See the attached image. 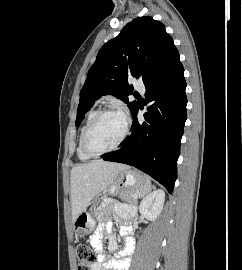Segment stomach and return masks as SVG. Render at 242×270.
Segmentation results:
<instances>
[{"mask_svg": "<svg viewBox=\"0 0 242 270\" xmlns=\"http://www.w3.org/2000/svg\"><path fill=\"white\" fill-rule=\"evenodd\" d=\"M117 181L126 190L136 193L140 192L146 183L141 173L131 169L120 172ZM109 192L110 194H116L118 192V186L112 185L109 188ZM73 226L76 237L82 238L91 233L95 227V221L88 212L84 211L74 221Z\"/></svg>", "mask_w": 242, "mask_h": 270, "instance_id": "0dacf381", "label": "stomach"}]
</instances>
